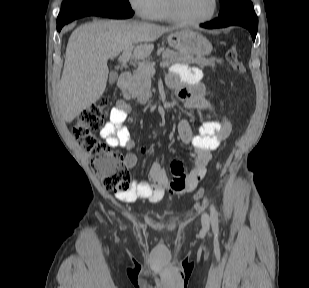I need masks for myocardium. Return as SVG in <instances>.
Returning <instances> with one entry per match:
<instances>
[{
  "instance_id": "f54148a6",
  "label": "myocardium",
  "mask_w": 309,
  "mask_h": 288,
  "mask_svg": "<svg viewBox=\"0 0 309 288\" xmlns=\"http://www.w3.org/2000/svg\"><path fill=\"white\" fill-rule=\"evenodd\" d=\"M212 10L208 16L199 20H188L183 18L177 11L175 0H166L167 10L172 20L186 26H201L214 19L218 12V0H212Z\"/></svg>"
}]
</instances>
